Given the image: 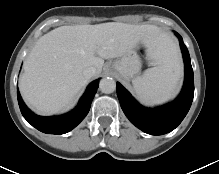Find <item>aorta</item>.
<instances>
[{
    "mask_svg": "<svg viewBox=\"0 0 219 174\" xmlns=\"http://www.w3.org/2000/svg\"><path fill=\"white\" fill-rule=\"evenodd\" d=\"M99 88L102 93L110 94L116 90V82L112 78H103L100 81Z\"/></svg>",
    "mask_w": 219,
    "mask_h": 174,
    "instance_id": "1",
    "label": "aorta"
}]
</instances>
